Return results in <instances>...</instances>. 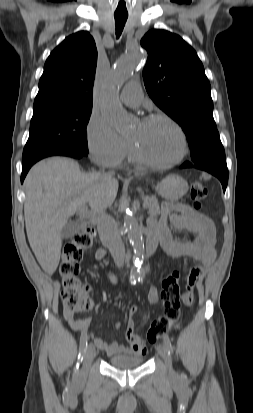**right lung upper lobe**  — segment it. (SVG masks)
<instances>
[{"label":"right lung upper lobe","mask_w":253,"mask_h":413,"mask_svg":"<svg viewBox=\"0 0 253 413\" xmlns=\"http://www.w3.org/2000/svg\"><path fill=\"white\" fill-rule=\"evenodd\" d=\"M96 64L97 49L89 32L67 37L46 60L34 112L92 107Z\"/></svg>","instance_id":"right-lung-upper-lobe-1"}]
</instances>
